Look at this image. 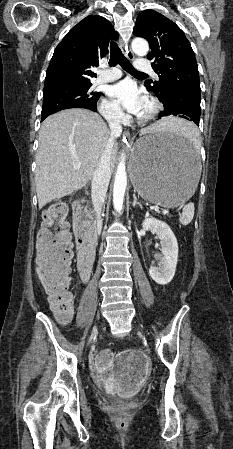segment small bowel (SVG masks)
<instances>
[{"label":"small bowel","mask_w":233,"mask_h":449,"mask_svg":"<svg viewBox=\"0 0 233 449\" xmlns=\"http://www.w3.org/2000/svg\"><path fill=\"white\" fill-rule=\"evenodd\" d=\"M80 279L87 282L91 274L82 272ZM70 317H60V320L65 323ZM92 358L97 376L102 377L105 373L106 389L111 394H118L119 399H132L136 390H141L142 377H147L150 367V354H141L140 347H125L124 354L116 355L117 363H113L114 355L110 350L94 351Z\"/></svg>","instance_id":"obj_1"}]
</instances>
